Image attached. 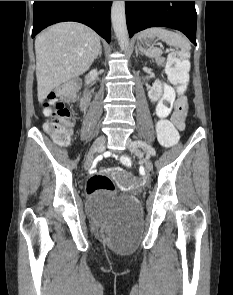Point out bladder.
<instances>
[{
	"instance_id": "bladder-1",
	"label": "bladder",
	"mask_w": 233,
	"mask_h": 295,
	"mask_svg": "<svg viewBox=\"0 0 233 295\" xmlns=\"http://www.w3.org/2000/svg\"><path fill=\"white\" fill-rule=\"evenodd\" d=\"M88 206L99 214H137L140 212V205L133 196H123L104 203H97L94 199H90Z\"/></svg>"
}]
</instances>
